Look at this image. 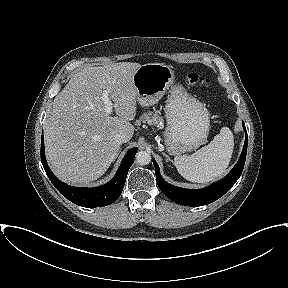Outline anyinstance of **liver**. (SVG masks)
Segmentation results:
<instances>
[{"label": "liver", "instance_id": "obj_1", "mask_svg": "<svg viewBox=\"0 0 288 288\" xmlns=\"http://www.w3.org/2000/svg\"><path fill=\"white\" fill-rule=\"evenodd\" d=\"M139 63L120 62L86 67L73 75L54 98L45 120V151L54 174L68 184L97 180L116 158L121 134L128 142L136 115L132 77ZM108 90L116 116L105 112L102 93Z\"/></svg>", "mask_w": 288, "mask_h": 288}]
</instances>
